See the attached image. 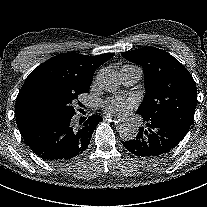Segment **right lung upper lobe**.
<instances>
[{"label":"right lung upper lobe","instance_id":"cb5924a9","mask_svg":"<svg viewBox=\"0 0 207 207\" xmlns=\"http://www.w3.org/2000/svg\"><path fill=\"white\" fill-rule=\"evenodd\" d=\"M115 54L87 56L78 53L59 54L35 68L26 78L15 104V116L20 132L44 122L28 107L29 97L38 91H47L66 97L87 93L94 72Z\"/></svg>","mask_w":207,"mask_h":207}]
</instances>
